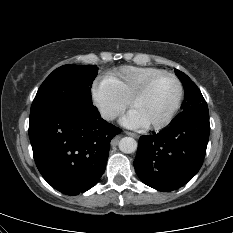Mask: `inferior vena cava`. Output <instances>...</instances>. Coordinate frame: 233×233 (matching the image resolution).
<instances>
[{
	"mask_svg": "<svg viewBox=\"0 0 233 233\" xmlns=\"http://www.w3.org/2000/svg\"><path fill=\"white\" fill-rule=\"evenodd\" d=\"M101 117L105 120H113L116 118V113L108 108L100 109Z\"/></svg>",
	"mask_w": 233,
	"mask_h": 233,
	"instance_id": "602c4592",
	"label": "inferior vena cava"
}]
</instances>
